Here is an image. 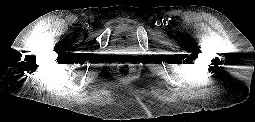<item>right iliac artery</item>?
<instances>
[{"label": "right iliac artery", "instance_id": "obj_1", "mask_svg": "<svg viewBox=\"0 0 255 122\" xmlns=\"http://www.w3.org/2000/svg\"><path fill=\"white\" fill-rule=\"evenodd\" d=\"M89 27V25L87 24V23H85L84 25H83V28L84 29H87Z\"/></svg>", "mask_w": 255, "mask_h": 122}]
</instances>
